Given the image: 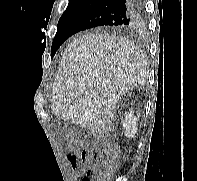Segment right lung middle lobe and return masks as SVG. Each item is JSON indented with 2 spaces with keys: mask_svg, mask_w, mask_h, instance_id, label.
<instances>
[{
  "mask_svg": "<svg viewBox=\"0 0 197 181\" xmlns=\"http://www.w3.org/2000/svg\"><path fill=\"white\" fill-rule=\"evenodd\" d=\"M87 7H79L72 10H66L61 18L59 19L57 26V33L54 37L52 47H51V56L53 57L61 46V44L67 39V36L72 29L73 25L77 19L87 10ZM115 27V26H113ZM118 28V27H117Z\"/></svg>",
  "mask_w": 197,
  "mask_h": 181,
  "instance_id": "obj_1",
  "label": "right lung middle lobe"
}]
</instances>
